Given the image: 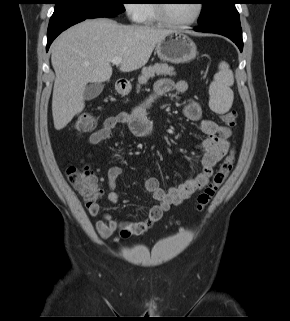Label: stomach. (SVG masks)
I'll return each mask as SVG.
<instances>
[{
    "label": "stomach",
    "mask_w": 290,
    "mask_h": 321,
    "mask_svg": "<svg viewBox=\"0 0 290 321\" xmlns=\"http://www.w3.org/2000/svg\"><path fill=\"white\" fill-rule=\"evenodd\" d=\"M156 53L163 61L173 64L188 63L196 57L197 47L185 33L172 31L156 45ZM116 89L120 94H127L131 86H117Z\"/></svg>",
    "instance_id": "obj_1"
}]
</instances>
